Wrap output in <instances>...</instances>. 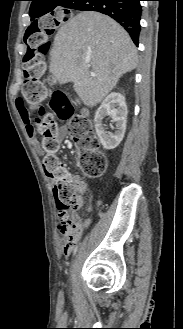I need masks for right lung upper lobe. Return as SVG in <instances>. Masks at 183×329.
I'll list each match as a JSON object with an SVG mask.
<instances>
[{
    "mask_svg": "<svg viewBox=\"0 0 183 329\" xmlns=\"http://www.w3.org/2000/svg\"><path fill=\"white\" fill-rule=\"evenodd\" d=\"M32 4L30 7L31 20L45 15L46 13L53 14V10L56 7L68 8V5L73 0H31ZM37 20L34 21V23Z\"/></svg>",
    "mask_w": 183,
    "mask_h": 329,
    "instance_id": "right-lung-upper-lobe-1",
    "label": "right lung upper lobe"
}]
</instances>
